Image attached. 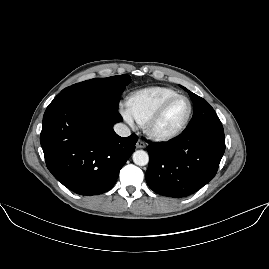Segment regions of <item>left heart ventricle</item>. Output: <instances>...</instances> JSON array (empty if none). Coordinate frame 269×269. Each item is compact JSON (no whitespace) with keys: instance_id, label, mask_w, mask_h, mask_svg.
<instances>
[{"instance_id":"obj_1","label":"left heart ventricle","mask_w":269,"mask_h":269,"mask_svg":"<svg viewBox=\"0 0 269 269\" xmlns=\"http://www.w3.org/2000/svg\"><path fill=\"white\" fill-rule=\"evenodd\" d=\"M187 111L188 103L185 99L174 101L156 123L154 130L159 134H171L175 132L185 120Z\"/></svg>"}]
</instances>
